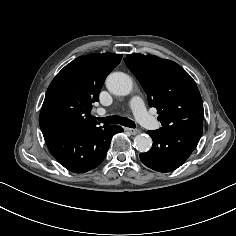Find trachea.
Listing matches in <instances>:
<instances>
[{
	"instance_id": "1",
	"label": "trachea",
	"mask_w": 236,
	"mask_h": 236,
	"mask_svg": "<svg viewBox=\"0 0 236 236\" xmlns=\"http://www.w3.org/2000/svg\"><path fill=\"white\" fill-rule=\"evenodd\" d=\"M97 120L104 124H121L129 128H135L134 121L128 119L127 117H120L118 115L108 116V117H96Z\"/></svg>"
}]
</instances>
